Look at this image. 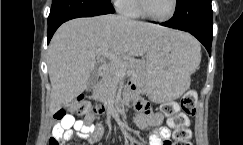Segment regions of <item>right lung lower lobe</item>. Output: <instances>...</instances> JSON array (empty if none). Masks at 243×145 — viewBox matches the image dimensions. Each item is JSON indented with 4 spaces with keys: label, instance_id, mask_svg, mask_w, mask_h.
<instances>
[{
    "label": "right lung lower lobe",
    "instance_id": "1",
    "mask_svg": "<svg viewBox=\"0 0 243 145\" xmlns=\"http://www.w3.org/2000/svg\"><path fill=\"white\" fill-rule=\"evenodd\" d=\"M111 0H53L48 17V42L56 29L65 21L77 17H91L115 10Z\"/></svg>",
    "mask_w": 243,
    "mask_h": 145
}]
</instances>
